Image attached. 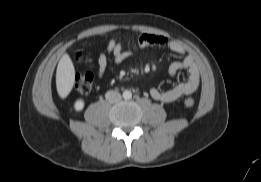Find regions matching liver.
<instances>
[{"instance_id": "obj_1", "label": "liver", "mask_w": 261, "mask_h": 182, "mask_svg": "<svg viewBox=\"0 0 261 182\" xmlns=\"http://www.w3.org/2000/svg\"><path fill=\"white\" fill-rule=\"evenodd\" d=\"M75 82V69L70 56L65 53L59 60L56 71V88L59 96L64 99L71 92Z\"/></svg>"}]
</instances>
